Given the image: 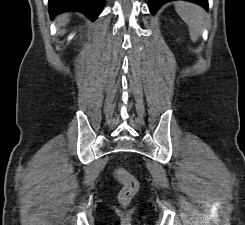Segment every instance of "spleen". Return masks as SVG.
<instances>
[{
  "mask_svg": "<svg viewBox=\"0 0 245 225\" xmlns=\"http://www.w3.org/2000/svg\"><path fill=\"white\" fill-rule=\"evenodd\" d=\"M175 9L182 20L189 26L192 41L196 42L205 25L206 12L193 3L179 1Z\"/></svg>",
  "mask_w": 245,
  "mask_h": 225,
  "instance_id": "spleen-1",
  "label": "spleen"
}]
</instances>
